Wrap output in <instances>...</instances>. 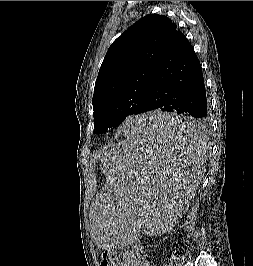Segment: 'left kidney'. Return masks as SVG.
I'll return each instance as SVG.
<instances>
[{
	"mask_svg": "<svg viewBox=\"0 0 253 266\" xmlns=\"http://www.w3.org/2000/svg\"><path fill=\"white\" fill-rule=\"evenodd\" d=\"M175 221H176V217H174V218L172 219V223H171V224H173Z\"/></svg>",
	"mask_w": 253,
	"mask_h": 266,
	"instance_id": "5707ae66",
	"label": "left kidney"
}]
</instances>
